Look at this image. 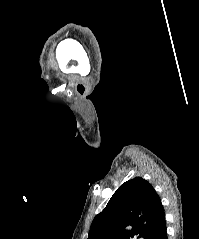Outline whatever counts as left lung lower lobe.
<instances>
[{"instance_id":"obj_1","label":"left lung lower lobe","mask_w":199,"mask_h":239,"mask_svg":"<svg viewBox=\"0 0 199 239\" xmlns=\"http://www.w3.org/2000/svg\"><path fill=\"white\" fill-rule=\"evenodd\" d=\"M147 239H168L164 210L154 222Z\"/></svg>"}]
</instances>
